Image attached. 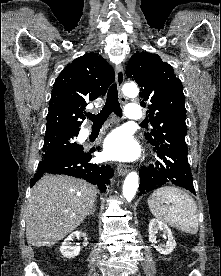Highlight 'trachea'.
Returning a JSON list of instances; mask_svg holds the SVG:
<instances>
[{
  "mask_svg": "<svg viewBox=\"0 0 221 276\" xmlns=\"http://www.w3.org/2000/svg\"><path fill=\"white\" fill-rule=\"evenodd\" d=\"M115 113L117 116L122 117V109L118 101L117 85L113 84L107 93V99L104 107L98 114H87L94 125H102L111 113Z\"/></svg>",
  "mask_w": 221,
  "mask_h": 276,
  "instance_id": "3493384b",
  "label": "trachea"
}]
</instances>
